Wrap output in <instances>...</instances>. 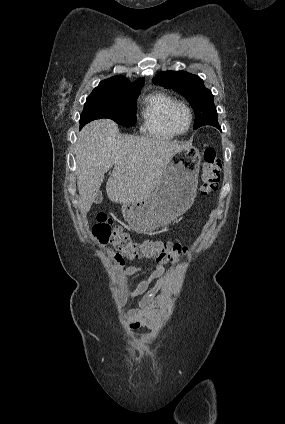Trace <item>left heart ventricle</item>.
<instances>
[{
    "instance_id": "1",
    "label": "left heart ventricle",
    "mask_w": 285,
    "mask_h": 424,
    "mask_svg": "<svg viewBox=\"0 0 285 424\" xmlns=\"http://www.w3.org/2000/svg\"><path fill=\"white\" fill-rule=\"evenodd\" d=\"M173 124L178 131H185L189 124V115L185 108L175 109L172 117Z\"/></svg>"
}]
</instances>
